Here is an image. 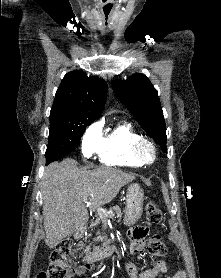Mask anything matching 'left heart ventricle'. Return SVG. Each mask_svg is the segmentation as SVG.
Segmentation results:
<instances>
[{
    "instance_id": "left-heart-ventricle-1",
    "label": "left heart ventricle",
    "mask_w": 221,
    "mask_h": 278,
    "mask_svg": "<svg viewBox=\"0 0 221 278\" xmlns=\"http://www.w3.org/2000/svg\"><path fill=\"white\" fill-rule=\"evenodd\" d=\"M144 152L147 156H151V154H152L151 149L148 147H145Z\"/></svg>"
}]
</instances>
